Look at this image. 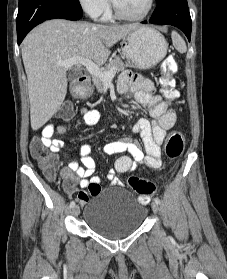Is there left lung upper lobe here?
<instances>
[{"label":"left lung upper lobe","mask_w":227,"mask_h":279,"mask_svg":"<svg viewBox=\"0 0 227 279\" xmlns=\"http://www.w3.org/2000/svg\"><path fill=\"white\" fill-rule=\"evenodd\" d=\"M159 1H161V0H156L157 3H158Z\"/></svg>","instance_id":"1"}]
</instances>
